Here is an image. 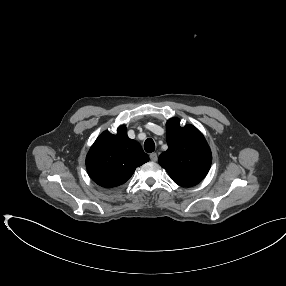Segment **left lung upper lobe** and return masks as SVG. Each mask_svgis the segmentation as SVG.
<instances>
[{
  "label": "left lung upper lobe",
  "mask_w": 286,
  "mask_h": 286,
  "mask_svg": "<svg viewBox=\"0 0 286 286\" xmlns=\"http://www.w3.org/2000/svg\"><path fill=\"white\" fill-rule=\"evenodd\" d=\"M168 150L159 156V164L171 179L182 187H192L207 175L211 150L201 132L193 125L180 126L178 118L166 124Z\"/></svg>",
  "instance_id": "obj_1"
}]
</instances>
